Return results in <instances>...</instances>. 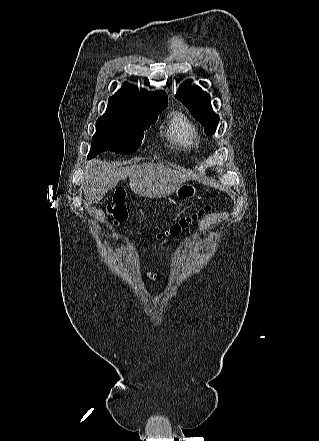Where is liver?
<instances>
[{
  "label": "liver",
  "mask_w": 319,
  "mask_h": 441,
  "mask_svg": "<svg viewBox=\"0 0 319 441\" xmlns=\"http://www.w3.org/2000/svg\"><path fill=\"white\" fill-rule=\"evenodd\" d=\"M127 177L134 193L149 198H162L175 192L192 177V173L186 170L177 171L159 163L112 167L106 162L95 159L90 162L84 174L85 200L89 203L99 202L108 190L113 189Z\"/></svg>",
  "instance_id": "obj_1"
}]
</instances>
